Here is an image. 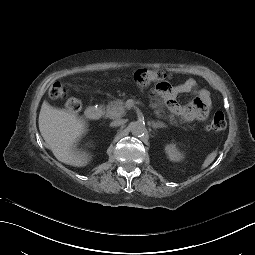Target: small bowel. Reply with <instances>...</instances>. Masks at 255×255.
<instances>
[{
  "label": "small bowel",
  "mask_w": 255,
  "mask_h": 255,
  "mask_svg": "<svg viewBox=\"0 0 255 255\" xmlns=\"http://www.w3.org/2000/svg\"><path fill=\"white\" fill-rule=\"evenodd\" d=\"M197 88V82L194 79H187L182 84L170 87L169 85L159 92L165 94L169 99L170 111L183 118L186 121H203L209 115L212 101L208 90L201 89L198 91L197 97L190 102L187 106H181L177 104L173 99L178 94L190 93Z\"/></svg>",
  "instance_id": "c3829d8e"
}]
</instances>
